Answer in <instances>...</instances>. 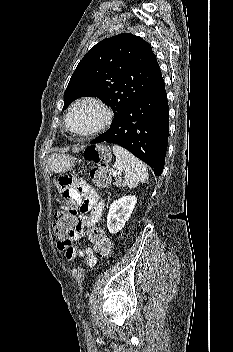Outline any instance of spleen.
Listing matches in <instances>:
<instances>
[{
    "instance_id": "1",
    "label": "spleen",
    "mask_w": 233,
    "mask_h": 352,
    "mask_svg": "<svg viewBox=\"0 0 233 352\" xmlns=\"http://www.w3.org/2000/svg\"><path fill=\"white\" fill-rule=\"evenodd\" d=\"M112 149L116 156L114 167L124 173V185L134 188L140 182L148 181V172L142 161L121 146L114 145Z\"/></svg>"
}]
</instances>
